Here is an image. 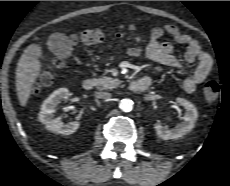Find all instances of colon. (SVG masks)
I'll list each match as a JSON object with an SVG mask.
<instances>
[{
	"instance_id": "colon-1",
	"label": "colon",
	"mask_w": 230,
	"mask_h": 186,
	"mask_svg": "<svg viewBox=\"0 0 230 186\" xmlns=\"http://www.w3.org/2000/svg\"><path fill=\"white\" fill-rule=\"evenodd\" d=\"M129 30L134 31V28L130 27ZM125 32H126L125 28L120 27L116 35L118 37H122L125 34ZM106 38H107V33L104 32L103 30L86 29L74 35L71 38V42L75 44L92 45V44L101 43L104 40H106ZM55 65L60 66L61 62L56 61ZM51 80H52L51 72L49 70L42 71L39 74L38 79L34 85V89H33L34 93L39 94L44 87L50 85ZM219 92H220V86L214 80L208 81L203 88L204 98L208 103H214L218 98Z\"/></svg>"
}]
</instances>
